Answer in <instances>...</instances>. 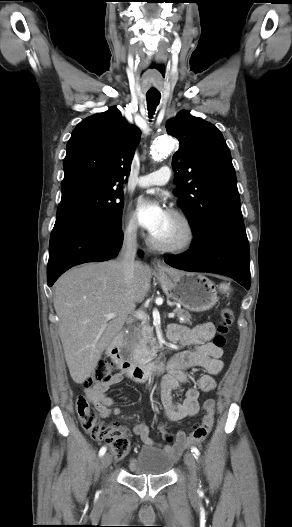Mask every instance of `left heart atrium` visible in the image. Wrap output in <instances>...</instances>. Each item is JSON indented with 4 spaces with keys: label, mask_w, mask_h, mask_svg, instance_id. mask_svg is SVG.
Listing matches in <instances>:
<instances>
[{
    "label": "left heart atrium",
    "mask_w": 292,
    "mask_h": 527,
    "mask_svg": "<svg viewBox=\"0 0 292 527\" xmlns=\"http://www.w3.org/2000/svg\"><path fill=\"white\" fill-rule=\"evenodd\" d=\"M168 213L155 201L141 199L136 208L139 224L151 235L156 233L164 224Z\"/></svg>",
    "instance_id": "obj_1"
}]
</instances>
